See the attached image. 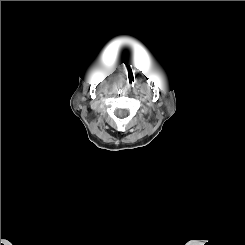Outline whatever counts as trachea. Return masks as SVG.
Masks as SVG:
<instances>
[{"instance_id":"trachea-1","label":"trachea","mask_w":245,"mask_h":245,"mask_svg":"<svg viewBox=\"0 0 245 245\" xmlns=\"http://www.w3.org/2000/svg\"><path fill=\"white\" fill-rule=\"evenodd\" d=\"M130 85H132V80H130Z\"/></svg>"}]
</instances>
